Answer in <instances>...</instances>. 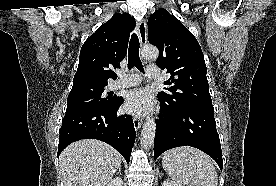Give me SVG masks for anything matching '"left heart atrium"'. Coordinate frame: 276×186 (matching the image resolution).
Returning <instances> with one entry per match:
<instances>
[{
	"mask_svg": "<svg viewBox=\"0 0 276 186\" xmlns=\"http://www.w3.org/2000/svg\"><path fill=\"white\" fill-rule=\"evenodd\" d=\"M152 106V97L147 90L136 89L130 91L125 100V110L135 115L147 113Z\"/></svg>",
	"mask_w": 276,
	"mask_h": 186,
	"instance_id": "1",
	"label": "left heart atrium"
}]
</instances>
